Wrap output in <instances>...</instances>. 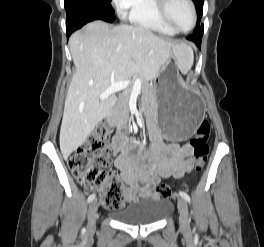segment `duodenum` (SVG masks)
Masks as SVG:
<instances>
[{
  "label": "duodenum",
  "instance_id": "duodenum-1",
  "mask_svg": "<svg viewBox=\"0 0 264 247\" xmlns=\"http://www.w3.org/2000/svg\"><path fill=\"white\" fill-rule=\"evenodd\" d=\"M106 122L113 129L119 130V128L121 127V125H119L110 114L106 116Z\"/></svg>",
  "mask_w": 264,
  "mask_h": 247
}]
</instances>
